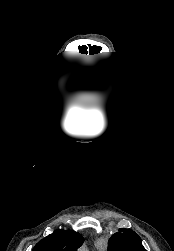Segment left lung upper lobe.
I'll list each match as a JSON object with an SVG mask.
<instances>
[{
  "label": "left lung upper lobe",
  "instance_id": "obj_1",
  "mask_svg": "<svg viewBox=\"0 0 174 251\" xmlns=\"http://www.w3.org/2000/svg\"><path fill=\"white\" fill-rule=\"evenodd\" d=\"M108 251H146V249L134 231L121 228L109 239Z\"/></svg>",
  "mask_w": 174,
  "mask_h": 251
}]
</instances>
